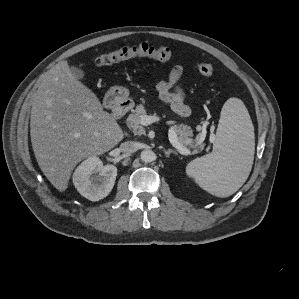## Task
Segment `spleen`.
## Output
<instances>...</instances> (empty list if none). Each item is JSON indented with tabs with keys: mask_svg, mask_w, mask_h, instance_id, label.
<instances>
[{
	"mask_svg": "<svg viewBox=\"0 0 299 299\" xmlns=\"http://www.w3.org/2000/svg\"><path fill=\"white\" fill-rule=\"evenodd\" d=\"M255 153L254 127L244 103L229 98L223 105L212 153L194 159L186 173L217 197L234 194L247 180Z\"/></svg>",
	"mask_w": 299,
	"mask_h": 299,
	"instance_id": "3e777b00",
	"label": "spleen"
}]
</instances>
